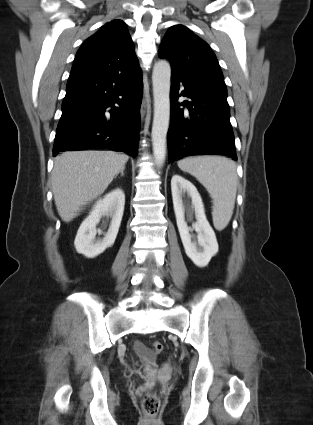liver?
I'll use <instances>...</instances> for the list:
<instances>
[{
  "mask_svg": "<svg viewBox=\"0 0 313 425\" xmlns=\"http://www.w3.org/2000/svg\"><path fill=\"white\" fill-rule=\"evenodd\" d=\"M128 159L113 151H69L57 156L52 192L61 219L70 222L83 206L100 196Z\"/></svg>",
  "mask_w": 313,
  "mask_h": 425,
  "instance_id": "obj_1",
  "label": "liver"
}]
</instances>
